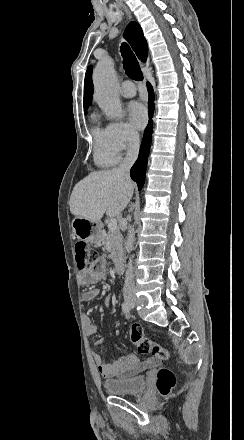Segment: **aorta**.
Segmentation results:
<instances>
[{"label": "aorta", "mask_w": 244, "mask_h": 440, "mask_svg": "<svg viewBox=\"0 0 244 440\" xmlns=\"http://www.w3.org/2000/svg\"><path fill=\"white\" fill-rule=\"evenodd\" d=\"M94 97L99 107L109 119L122 117V105L118 93V80L111 60L103 59L98 62L94 73ZM134 225L129 226L127 240L125 241L126 252H131L134 246Z\"/></svg>", "instance_id": "obj_1"}]
</instances>
